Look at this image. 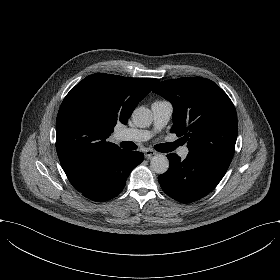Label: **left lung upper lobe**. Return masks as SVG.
I'll use <instances>...</instances> for the list:
<instances>
[{"mask_svg":"<svg viewBox=\"0 0 280 280\" xmlns=\"http://www.w3.org/2000/svg\"><path fill=\"white\" fill-rule=\"evenodd\" d=\"M173 105L172 133L187 141L189 153L231 162L238 134L237 115L227 94L206 78L161 82L153 90Z\"/></svg>","mask_w":280,"mask_h":280,"instance_id":"1","label":"left lung upper lobe"}]
</instances>
